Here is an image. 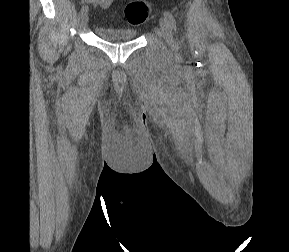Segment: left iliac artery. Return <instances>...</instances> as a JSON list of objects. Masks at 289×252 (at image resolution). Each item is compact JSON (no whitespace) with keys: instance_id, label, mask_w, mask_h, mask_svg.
<instances>
[{"instance_id":"obj_1","label":"left iliac artery","mask_w":289,"mask_h":252,"mask_svg":"<svg viewBox=\"0 0 289 252\" xmlns=\"http://www.w3.org/2000/svg\"><path fill=\"white\" fill-rule=\"evenodd\" d=\"M164 16L166 20L168 21L171 29L174 30L175 33H177V25H176V21L173 15L168 11H164Z\"/></svg>"}]
</instances>
